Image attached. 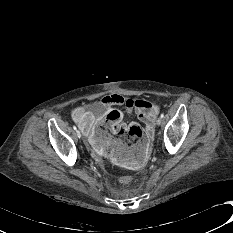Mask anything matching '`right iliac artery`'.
<instances>
[{
  "label": "right iliac artery",
  "mask_w": 233,
  "mask_h": 233,
  "mask_svg": "<svg viewBox=\"0 0 233 233\" xmlns=\"http://www.w3.org/2000/svg\"><path fill=\"white\" fill-rule=\"evenodd\" d=\"M73 129H74V130H77L76 126H73Z\"/></svg>",
  "instance_id": "1"
}]
</instances>
